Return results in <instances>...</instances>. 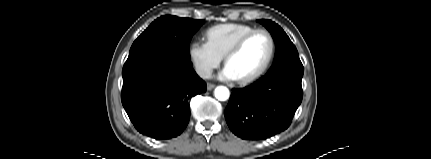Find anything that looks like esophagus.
<instances>
[{"mask_svg":"<svg viewBox=\"0 0 431 159\" xmlns=\"http://www.w3.org/2000/svg\"><path fill=\"white\" fill-rule=\"evenodd\" d=\"M215 88V84H212V83H208L207 84V90H212V89H214Z\"/></svg>","mask_w":431,"mask_h":159,"instance_id":"34e87169","label":"esophagus"}]
</instances>
